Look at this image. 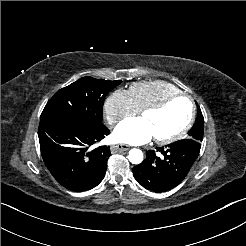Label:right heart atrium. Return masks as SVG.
I'll return each mask as SVG.
<instances>
[{"mask_svg": "<svg viewBox=\"0 0 246 246\" xmlns=\"http://www.w3.org/2000/svg\"><path fill=\"white\" fill-rule=\"evenodd\" d=\"M106 119L110 125L136 114L129 91L115 89L104 104Z\"/></svg>", "mask_w": 246, "mask_h": 246, "instance_id": "1", "label": "right heart atrium"}]
</instances>
